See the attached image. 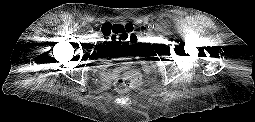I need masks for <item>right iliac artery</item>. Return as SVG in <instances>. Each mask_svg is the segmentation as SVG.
Masks as SVG:
<instances>
[{"mask_svg": "<svg viewBox=\"0 0 255 122\" xmlns=\"http://www.w3.org/2000/svg\"><path fill=\"white\" fill-rule=\"evenodd\" d=\"M86 29L88 30V32L92 31V28L90 26H87Z\"/></svg>", "mask_w": 255, "mask_h": 122, "instance_id": "1", "label": "right iliac artery"}]
</instances>
